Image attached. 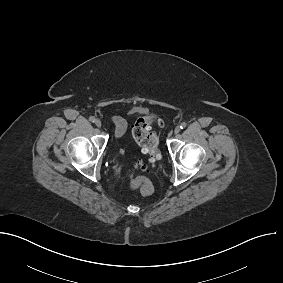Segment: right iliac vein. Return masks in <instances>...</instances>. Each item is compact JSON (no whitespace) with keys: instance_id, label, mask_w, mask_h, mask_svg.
<instances>
[{"instance_id":"obj_1","label":"right iliac vein","mask_w":283,"mask_h":283,"mask_svg":"<svg viewBox=\"0 0 283 283\" xmlns=\"http://www.w3.org/2000/svg\"><path fill=\"white\" fill-rule=\"evenodd\" d=\"M95 124H96V126L99 127V128L102 126V122H101L100 120H96V121H95Z\"/></svg>"}]
</instances>
